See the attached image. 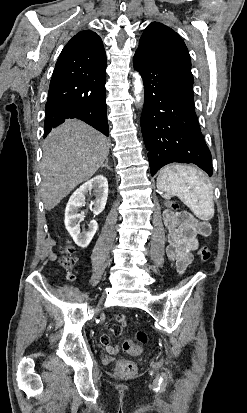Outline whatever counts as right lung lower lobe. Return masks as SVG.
Masks as SVG:
<instances>
[{
  "instance_id": "1",
  "label": "right lung lower lobe",
  "mask_w": 247,
  "mask_h": 413,
  "mask_svg": "<svg viewBox=\"0 0 247 413\" xmlns=\"http://www.w3.org/2000/svg\"><path fill=\"white\" fill-rule=\"evenodd\" d=\"M106 66L86 72L54 70L45 108L44 138L68 118H77L109 136Z\"/></svg>"
}]
</instances>
